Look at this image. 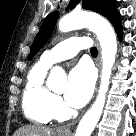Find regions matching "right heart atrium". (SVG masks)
I'll return each instance as SVG.
<instances>
[{
  "instance_id": "right-heart-atrium-1",
  "label": "right heart atrium",
  "mask_w": 136,
  "mask_h": 136,
  "mask_svg": "<svg viewBox=\"0 0 136 136\" xmlns=\"http://www.w3.org/2000/svg\"><path fill=\"white\" fill-rule=\"evenodd\" d=\"M53 109H54L56 116H61L65 112L64 104L59 96L54 95Z\"/></svg>"
}]
</instances>
